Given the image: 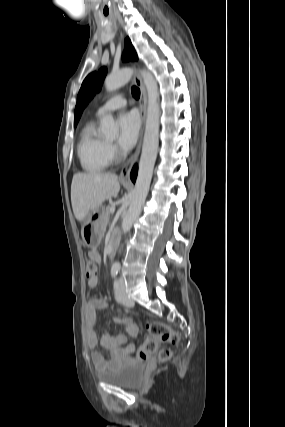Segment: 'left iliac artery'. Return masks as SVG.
<instances>
[{"instance_id": "44dca946", "label": "left iliac artery", "mask_w": 285, "mask_h": 427, "mask_svg": "<svg viewBox=\"0 0 285 427\" xmlns=\"http://www.w3.org/2000/svg\"><path fill=\"white\" fill-rule=\"evenodd\" d=\"M114 286L117 287V281L114 282Z\"/></svg>"}]
</instances>
